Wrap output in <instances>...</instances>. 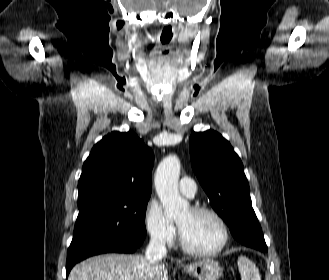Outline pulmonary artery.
I'll list each match as a JSON object with an SVG mask.
<instances>
[{"mask_svg":"<svg viewBox=\"0 0 329 280\" xmlns=\"http://www.w3.org/2000/svg\"><path fill=\"white\" fill-rule=\"evenodd\" d=\"M179 190L182 194L193 197L196 193L197 187L195 182L189 177H183L179 181Z\"/></svg>","mask_w":329,"mask_h":280,"instance_id":"1","label":"pulmonary artery"}]
</instances>
